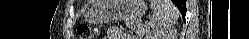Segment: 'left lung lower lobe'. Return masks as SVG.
<instances>
[{"label":"left lung lower lobe","instance_id":"left-lung-lower-lobe-1","mask_svg":"<svg viewBox=\"0 0 249 39\" xmlns=\"http://www.w3.org/2000/svg\"><path fill=\"white\" fill-rule=\"evenodd\" d=\"M173 2L175 3V5L180 10L182 16L185 17V14H186V1L185 0H173Z\"/></svg>","mask_w":249,"mask_h":39}]
</instances>
